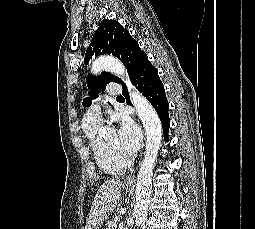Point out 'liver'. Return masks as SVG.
Instances as JSON below:
<instances>
[{
  "label": "liver",
  "mask_w": 255,
  "mask_h": 229,
  "mask_svg": "<svg viewBox=\"0 0 255 229\" xmlns=\"http://www.w3.org/2000/svg\"><path fill=\"white\" fill-rule=\"evenodd\" d=\"M123 184L119 179L104 182L97 191L92 203L85 229L101 225L113 212L121 198Z\"/></svg>",
  "instance_id": "liver-1"
}]
</instances>
